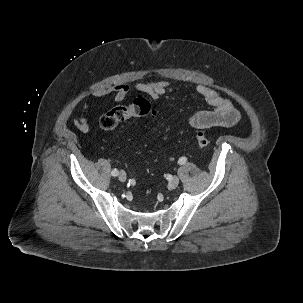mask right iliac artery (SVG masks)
I'll return each mask as SVG.
<instances>
[{"label": "right iliac artery", "mask_w": 303, "mask_h": 303, "mask_svg": "<svg viewBox=\"0 0 303 303\" xmlns=\"http://www.w3.org/2000/svg\"><path fill=\"white\" fill-rule=\"evenodd\" d=\"M111 175L112 176H117L118 175V170L117 169L112 170Z\"/></svg>", "instance_id": "1"}]
</instances>
